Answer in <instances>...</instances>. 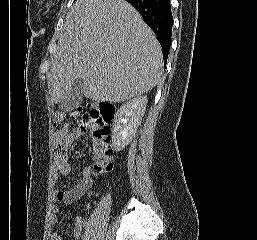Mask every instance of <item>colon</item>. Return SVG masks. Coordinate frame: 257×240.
<instances>
[{
	"label": "colon",
	"mask_w": 257,
	"mask_h": 240,
	"mask_svg": "<svg viewBox=\"0 0 257 240\" xmlns=\"http://www.w3.org/2000/svg\"><path fill=\"white\" fill-rule=\"evenodd\" d=\"M81 125L90 132L94 151L93 175L95 177L109 173L112 149L110 147L109 123L114 116V107L110 104H89L85 110L80 109Z\"/></svg>",
	"instance_id": "5ec220e1"
}]
</instances>
